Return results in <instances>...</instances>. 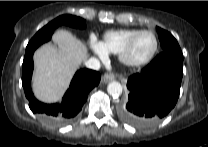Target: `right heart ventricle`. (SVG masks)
<instances>
[{
	"mask_svg": "<svg viewBox=\"0 0 208 147\" xmlns=\"http://www.w3.org/2000/svg\"><path fill=\"white\" fill-rule=\"evenodd\" d=\"M137 28H120L105 32L103 36V44L109 53L118 54L127 41L139 32Z\"/></svg>",
	"mask_w": 208,
	"mask_h": 147,
	"instance_id": "e07e8e85",
	"label": "right heart ventricle"
}]
</instances>
